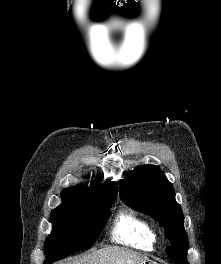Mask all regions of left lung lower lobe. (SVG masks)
<instances>
[{
  "instance_id": "left-lung-lower-lobe-1",
  "label": "left lung lower lobe",
  "mask_w": 221,
  "mask_h": 264,
  "mask_svg": "<svg viewBox=\"0 0 221 264\" xmlns=\"http://www.w3.org/2000/svg\"><path fill=\"white\" fill-rule=\"evenodd\" d=\"M182 264H189L188 262H183Z\"/></svg>"
}]
</instances>
